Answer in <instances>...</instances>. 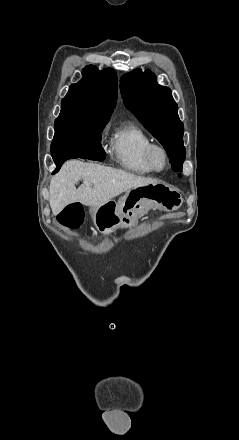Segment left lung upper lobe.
Segmentation results:
<instances>
[{
    "label": "left lung upper lobe",
    "instance_id": "obj_1",
    "mask_svg": "<svg viewBox=\"0 0 239 440\" xmlns=\"http://www.w3.org/2000/svg\"><path fill=\"white\" fill-rule=\"evenodd\" d=\"M120 90L126 107L165 147L172 169L181 171L186 155L183 145L184 126L179 119L171 90L158 85L151 71L143 73L140 69L121 77Z\"/></svg>",
    "mask_w": 239,
    "mask_h": 440
}]
</instances>
